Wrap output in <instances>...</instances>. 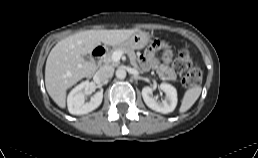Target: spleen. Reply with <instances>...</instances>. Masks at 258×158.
I'll list each match as a JSON object with an SVG mask.
<instances>
[{
    "label": "spleen",
    "instance_id": "spleen-1",
    "mask_svg": "<svg viewBox=\"0 0 258 158\" xmlns=\"http://www.w3.org/2000/svg\"><path fill=\"white\" fill-rule=\"evenodd\" d=\"M201 91L202 88L200 86H195L187 89L183 96L179 112L184 113L189 110L199 98Z\"/></svg>",
    "mask_w": 258,
    "mask_h": 158
}]
</instances>
